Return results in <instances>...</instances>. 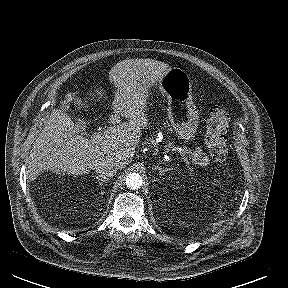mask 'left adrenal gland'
Instances as JSON below:
<instances>
[{"label": "left adrenal gland", "instance_id": "left-adrenal-gland-1", "mask_svg": "<svg viewBox=\"0 0 288 288\" xmlns=\"http://www.w3.org/2000/svg\"><path fill=\"white\" fill-rule=\"evenodd\" d=\"M155 169L159 171V174L162 176L165 174V172L171 170V168H162L161 166L157 165L155 166Z\"/></svg>", "mask_w": 288, "mask_h": 288}]
</instances>
